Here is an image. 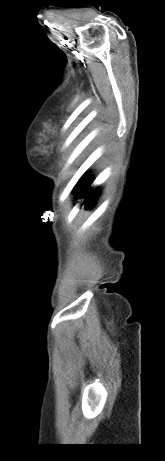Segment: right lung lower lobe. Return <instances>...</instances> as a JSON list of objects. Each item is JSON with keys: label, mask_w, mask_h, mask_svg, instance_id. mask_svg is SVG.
<instances>
[{"label": "right lung lower lobe", "mask_w": 165, "mask_h": 461, "mask_svg": "<svg viewBox=\"0 0 165 461\" xmlns=\"http://www.w3.org/2000/svg\"><path fill=\"white\" fill-rule=\"evenodd\" d=\"M92 181L93 180L91 178H87V179L82 178V180L80 181V184L77 187V193L80 195V198L82 196L85 197V200L83 202V204H85V207H89L93 205L97 197V193H99V190L97 188L93 189L90 192H87V190L90 188ZM82 187L84 188L81 190L80 188Z\"/></svg>", "instance_id": "right-lung-lower-lobe-1"}]
</instances>
